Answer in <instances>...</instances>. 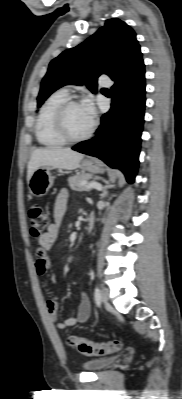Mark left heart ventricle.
<instances>
[{"mask_svg": "<svg viewBox=\"0 0 182 399\" xmlns=\"http://www.w3.org/2000/svg\"><path fill=\"white\" fill-rule=\"evenodd\" d=\"M92 123L82 104L73 105L66 114V125L72 136L78 137L85 134Z\"/></svg>", "mask_w": 182, "mask_h": 399, "instance_id": "obj_1", "label": "left heart ventricle"}]
</instances>
